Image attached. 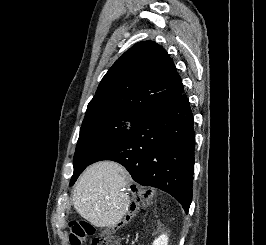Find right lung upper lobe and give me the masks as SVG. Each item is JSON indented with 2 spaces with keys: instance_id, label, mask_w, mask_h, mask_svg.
<instances>
[{
  "instance_id": "1",
  "label": "right lung upper lobe",
  "mask_w": 266,
  "mask_h": 245,
  "mask_svg": "<svg viewBox=\"0 0 266 245\" xmlns=\"http://www.w3.org/2000/svg\"><path fill=\"white\" fill-rule=\"evenodd\" d=\"M184 87L173 60L152 41L136 43L109 69L85 114L123 111L145 115L181 96Z\"/></svg>"
}]
</instances>
